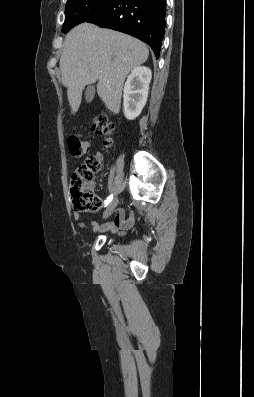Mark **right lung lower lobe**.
I'll list each match as a JSON object with an SVG mask.
<instances>
[{"label": "right lung lower lobe", "instance_id": "98d812e1", "mask_svg": "<svg viewBox=\"0 0 254 397\" xmlns=\"http://www.w3.org/2000/svg\"><path fill=\"white\" fill-rule=\"evenodd\" d=\"M166 0H111L86 22L134 36L147 43L158 58L164 37Z\"/></svg>", "mask_w": 254, "mask_h": 397}]
</instances>
